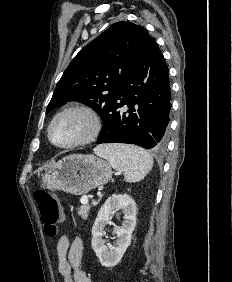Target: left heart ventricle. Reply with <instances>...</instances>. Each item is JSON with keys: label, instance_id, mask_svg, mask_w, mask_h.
<instances>
[{"label": "left heart ventricle", "instance_id": "obj_1", "mask_svg": "<svg viewBox=\"0 0 232 282\" xmlns=\"http://www.w3.org/2000/svg\"><path fill=\"white\" fill-rule=\"evenodd\" d=\"M90 129L89 119L80 113H70L58 119L52 127V138L59 144L82 138Z\"/></svg>", "mask_w": 232, "mask_h": 282}]
</instances>
